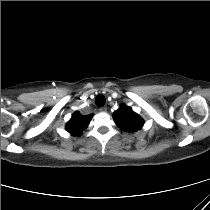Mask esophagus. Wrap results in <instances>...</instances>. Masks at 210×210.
Returning <instances> with one entry per match:
<instances>
[{"instance_id": "obj_1", "label": "esophagus", "mask_w": 210, "mask_h": 210, "mask_svg": "<svg viewBox=\"0 0 210 210\" xmlns=\"http://www.w3.org/2000/svg\"><path fill=\"white\" fill-rule=\"evenodd\" d=\"M99 110H100V112H106L107 111V107L106 106H103Z\"/></svg>"}]
</instances>
